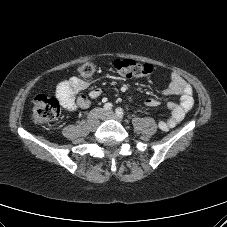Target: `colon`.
<instances>
[{
  "mask_svg": "<svg viewBox=\"0 0 227 227\" xmlns=\"http://www.w3.org/2000/svg\"><path fill=\"white\" fill-rule=\"evenodd\" d=\"M114 69L122 76L148 77L153 72L150 64L138 63L132 59H116L113 62ZM96 71L93 62H85L78 66L77 73L84 79L91 78ZM60 115L59 102L44 94L37 95L33 100L32 119L36 124H47L56 120Z\"/></svg>",
  "mask_w": 227,
  "mask_h": 227,
  "instance_id": "colon-1",
  "label": "colon"
}]
</instances>
